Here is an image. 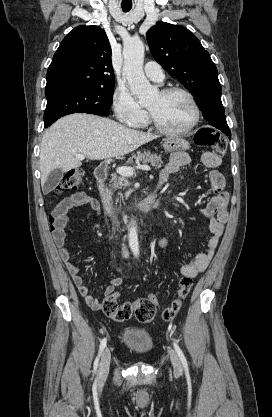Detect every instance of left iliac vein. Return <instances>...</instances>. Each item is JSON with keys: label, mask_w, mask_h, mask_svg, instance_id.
<instances>
[{"label": "left iliac vein", "mask_w": 272, "mask_h": 417, "mask_svg": "<svg viewBox=\"0 0 272 417\" xmlns=\"http://www.w3.org/2000/svg\"><path fill=\"white\" fill-rule=\"evenodd\" d=\"M169 355H170V359H171L172 365L174 367V370L176 372H181L182 371V365H181V361H180L177 353L173 349H170L169 350Z\"/></svg>", "instance_id": "1"}]
</instances>
